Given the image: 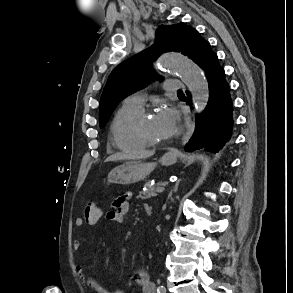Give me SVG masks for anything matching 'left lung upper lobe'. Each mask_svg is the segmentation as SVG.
I'll use <instances>...</instances> for the list:
<instances>
[{
  "label": "left lung upper lobe",
  "instance_id": "obj_1",
  "mask_svg": "<svg viewBox=\"0 0 293 293\" xmlns=\"http://www.w3.org/2000/svg\"><path fill=\"white\" fill-rule=\"evenodd\" d=\"M206 42L197 30L184 23L161 25L153 46L122 62L110 74L99 104L100 126L106 124L117 104L126 95L146 87L151 79H161L150 68V63L160 54L178 51L197 63Z\"/></svg>",
  "mask_w": 293,
  "mask_h": 293
}]
</instances>
